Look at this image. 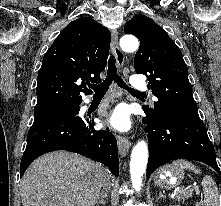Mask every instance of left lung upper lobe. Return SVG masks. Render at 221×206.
<instances>
[{"mask_svg":"<svg viewBox=\"0 0 221 206\" xmlns=\"http://www.w3.org/2000/svg\"><path fill=\"white\" fill-rule=\"evenodd\" d=\"M124 31L140 40L134 59L137 74L148 75L149 88L158 98L154 108H144L155 118H199L188 69L182 53L166 31L151 18L136 15Z\"/></svg>","mask_w":221,"mask_h":206,"instance_id":"left-lung-upper-lobe-1","label":"left lung upper lobe"}]
</instances>
